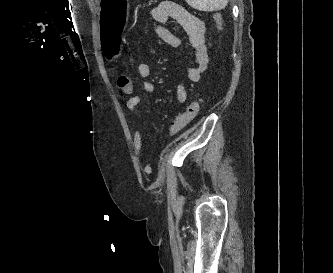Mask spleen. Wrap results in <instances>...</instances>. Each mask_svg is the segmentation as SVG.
<instances>
[{
  "mask_svg": "<svg viewBox=\"0 0 333 273\" xmlns=\"http://www.w3.org/2000/svg\"><path fill=\"white\" fill-rule=\"evenodd\" d=\"M229 0H186V2L199 11H218L224 9Z\"/></svg>",
  "mask_w": 333,
  "mask_h": 273,
  "instance_id": "spleen-1",
  "label": "spleen"
}]
</instances>
